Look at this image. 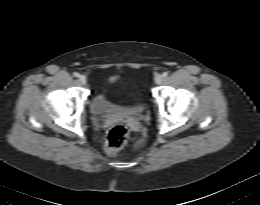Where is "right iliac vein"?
<instances>
[{
  "label": "right iliac vein",
  "instance_id": "1",
  "mask_svg": "<svg viewBox=\"0 0 260 205\" xmlns=\"http://www.w3.org/2000/svg\"><path fill=\"white\" fill-rule=\"evenodd\" d=\"M79 81L81 84H86L87 78L84 75L79 76Z\"/></svg>",
  "mask_w": 260,
  "mask_h": 205
}]
</instances>
